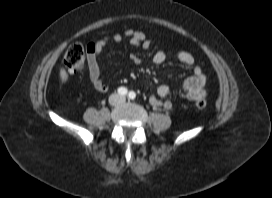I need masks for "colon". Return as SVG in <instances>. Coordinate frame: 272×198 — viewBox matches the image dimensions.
Returning a JSON list of instances; mask_svg holds the SVG:
<instances>
[{"label":"colon","instance_id":"obj_1","mask_svg":"<svg viewBox=\"0 0 272 198\" xmlns=\"http://www.w3.org/2000/svg\"><path fill=\"white\" fill-rule=\"evenodd\" d=\"M64 64L70 73L80 72L85 67V50L82 44L72 43L67 48L64 55ZM195 105L199 109H203L207 105L204 97L198 98Z\"/></svg>","mask_w":272,"mask_h":198}]
</instances>
